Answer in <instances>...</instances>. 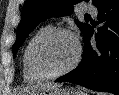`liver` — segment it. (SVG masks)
I'll list each match as a JSON object with an SVG mask.
<instances>
[{
    "label": "liver",
    "instance_id": "6515ba94",
    "mask_svg": "<svg viewBox=\"0 0 119 95\" xmlns=\"http://www.w3.org/2000/svg\"><path fill=\"white\" fill-rule=\"evenodd\" d=\"M58 85H54V84H51V83H47V84H41V85H38L37 87H35L36 89L39 88V89H46V88H57ZM30 90H34V88H26L24 89V93H28L30 92Z\"/></svg>",
    "mask_w": 119,
    "mask_h": 95
}]
</instances>
